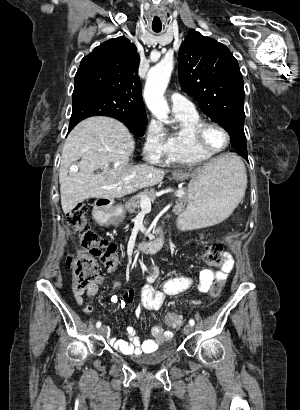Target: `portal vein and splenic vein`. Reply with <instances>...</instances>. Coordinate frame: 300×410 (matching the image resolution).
Listing matches in <instances>:
<instances>
[{
	"label": "portal vein and splenic vein",
	"instance_id": "1",
	"mask_svg": "<svg viewBox=\"0 0 300 410\" xmlns=\"http://www.w3.org/2000/svg\"><path fill=\"white\" fill-rule=\"evenodd\" d=\"M115 166H118V164H115ZM184 194L185 193H184L183 190H178V191H176L175 196L182 197ZM140 204L147 212L151 211V200L149 199L148 196L142 195L141 200H140Z\"/></svg>",
	"mask_w": 300,
	"mask_h": 410
}]
</instances>
